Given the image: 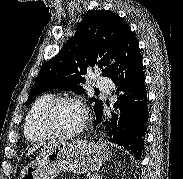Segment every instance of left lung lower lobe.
I'll return each mask as SVG.
<instances>
[{
    "instance_id": "obj_1",
    "label": "left lung lower lobe",
    "mask_w": 183,
    "mask_h": 179,
    "mask_svg": "<svg viewBox=\"0 0 183 179\" xmlns=\"http://www.w3.org/2000/svg\"><path fill=\"white\" fill-rule=\"evenodd\" d=\"M109 78L117 87L115 94L121 92L114 104L119 114L113 113L111 118L104 120L102 110L96 115L94 128L103 125L109 141L123 146L136 159H140L149 113L142 58L138 42L131 30L125 34L116 66Z\"/></svg>"
}]
</instances>
